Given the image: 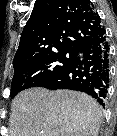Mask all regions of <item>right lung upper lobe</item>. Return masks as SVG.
I'll return each instance as SVG.
<instances>
[{
  "mask_svg": "<svg viewBox=\"0 0 117 136\" xmlns=\"http://www.w3.org/2000/svg\"><path fill=\"white\" fill-rule=\"evenodd\" d=\"M102 27L88 0H36L13 67L62 51L76 52Z\"/></svg>",
  "mask_w": 117,
  "mask_h": 136,
  "instance_id": "cb5924a9",
  "label": "right lung upper lobe"
}]
</instances>
